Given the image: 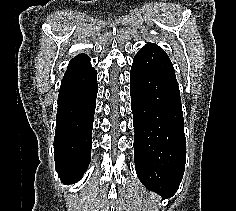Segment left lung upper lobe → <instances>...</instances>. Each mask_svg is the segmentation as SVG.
<instances>
[{
	"label": "left lung upper lobe",
	"mask_w": 236,
	"mask_h": 211,
	"mask_svg": "<svg viewBox=\"0 0 236 211\" xmlns=\"http://www.w3.org/2000/svg\"><path fill=\"white\" fill-rule=\"evenodd\" d=\"M148 45H154V46H157V45H155V44H151V43H149Z\"/></svg>",
	"instance_id": "5c2ea615"
}]
</instances>
